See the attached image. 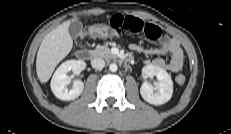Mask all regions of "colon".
Wrapping results in <instances>:
<instances>
[{"label": "colon", "instance_id": "colon-1", "mask_svg": "<svg viewBox=\"0 0 231 134\" xmlns=\"http://www.w3.org/2000/svg\"><path fill=\"white\" fill-rule=\"evenodd\" d=\"M86 33L91 36V37H95V38H112V37H121L122 33L111 28L109 25H105V24H95L90 26ZM176 83L179 85L184 84L185 82V76L182 74H179L176 76L175 78Z\"/></svg>", "mask_w": 231, "mask_h": 134}]
</instances>
